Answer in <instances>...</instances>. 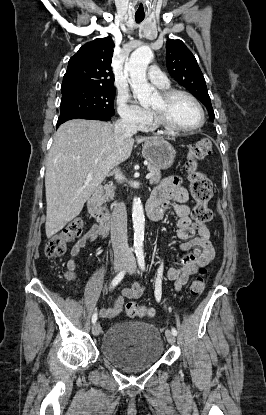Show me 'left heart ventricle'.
I'll return each mask as SVG.
<instances>
[{"label":"left heart ventricle","instance_id":"left-heart-ventricle-1","mask_svg":"<svg viewBox=\"0 0 266 415\" xmlns=\"http://www.w3.org/2000/svg\"><path fill=\"white\" fill-rule=\"evenodd\" d=\"M152 108L161 111L176 126L192 127L200 122V112L187 97L177 96L166 104L160 95L152 103Z\"/></svg>","mask_w":266,"mask_h":415}]
</instances>
